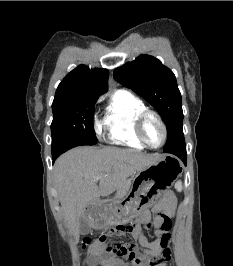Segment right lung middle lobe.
Wrapping results in <instances>:
<instances>
[{"label":"right lung middle lobe","mask_w":233,"mask_h":266,"mask_svg":"<svg viewBox=\"0 0 233 266\" xmlns=\"http://www.w3.org/2000/svg\"><path fill=\"white\" fill-rule=\"evenodd\" d=\"M98 96H83L54 100L52 154H62L80 145H94L93 113Z\"/></svg>","instance_id":"obj_1"}]
</instances>
